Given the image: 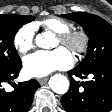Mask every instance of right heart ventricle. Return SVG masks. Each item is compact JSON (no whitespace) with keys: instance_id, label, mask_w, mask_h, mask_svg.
Instances as JSON below:
<instances>
[{"instance_id":"right-heart-ventricle-1","label":"right heart ventricle","mask_w":112,"mask_h":112,"mask_svg":"<svg viewBox=\"0 0 112 112\" xmlns=\"http://www.w3.org/2000/svg\"><path fill=\"white\" fill-rule=\"evenodd\" d=\"M40 24L47 30L57 34L61 35L64 34L70 30H72L73 25L61 18L58 17H50L40 22Z\"/></svg>"}]
</instances>
